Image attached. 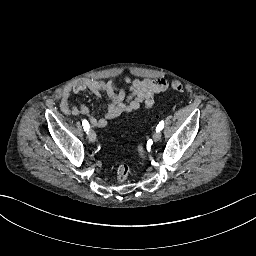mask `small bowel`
Returning <instances> with one entry per match:
<instances>
[{
  "label": "small bowel",
  "instance_id": "obj_1",
  "mask_svg": "<svg viewBox=\"0 0 256 256\" xmlns=\"http://www.w3.org/2000/svg\"><path fill=\"white\" fill-rule=\"evenodd\" d=\"M125 86L129 92L126 96L125 90L114 80H98L83 78L69 83L58 93L60 99V110L66 115L90 116L91 122L96 128H105L109 121L124 113L136 111L141 107L150 109L154 104L155 95L163 93L167 89V83L159 78H147L143 80L126 78ZM89 91L97 98L105 95L109 105L102 118L90 115V108L81 104L73 106L69 102L72 93Z\"/></svg>",
  "mask_w": 256,
  "mask_h": 256
}]
</instances>
